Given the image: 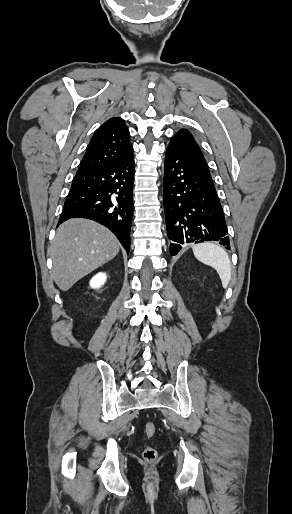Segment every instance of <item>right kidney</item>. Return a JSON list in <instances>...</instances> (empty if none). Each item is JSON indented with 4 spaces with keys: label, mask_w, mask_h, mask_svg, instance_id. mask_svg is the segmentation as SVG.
<instances>
[{
    "label": "right kidney",
    "mask_w": 292,
    "mask_h": 514,
    "mask_svg": "<svg viewBox=\"0 0 292 514\" xmlns=\"http://www.w3.org/2000/svg\"><path fill=\"white\" fill-rule=\"evenodd\" d=\"M106 278V274H102V272H99V274H96V276H93L92 280H90L91 288H101V286L105 284Z\"/></svg>",
    "instance_id": "ca27d5eb"
}]
</instances>
